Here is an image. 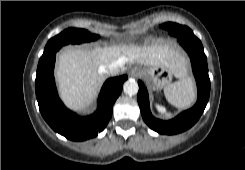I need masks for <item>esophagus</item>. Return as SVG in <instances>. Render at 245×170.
<instances>
[{
  "instance_id": "esophagus-1",
  "label": "esophagus",
  "mask_w": 245,
  "mask_h": 170,
  "mask_svg": "<svg viewBox=\"0 0 245 170\" xmlns=\"http://www.w3.org/2000/svg\"><path fill=\"white\" fill-rule=\"evenodd\" d=\"M130 76L131 77H137L138 76V72L136 69H133L131 72H130Z\"/></svg>"
}]
</instances>
